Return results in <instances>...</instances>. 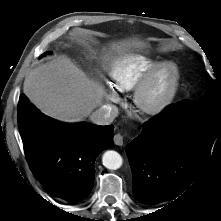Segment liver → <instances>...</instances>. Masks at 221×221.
I'll list each match as a JSON object with an SVG mask.
<instances>
[{"label": "liver", "mask_w": 221, "mask_h": 221, "mask_svg": "<svg viewBox=\"0 0 221 221\" xmlns=\"http://www.w3.org/2000/svg\"><path fill=\"white\" fill-rule=\"evenodd\" d=\"M139 41L113 45L118 52ZM24 93L44 114L64 122L85 119L102 104L104 88L90 80L69 58L60 56L31 70L24 80Z\"/></svg>", "instance_id": "6515ba94"}]
</instances>
